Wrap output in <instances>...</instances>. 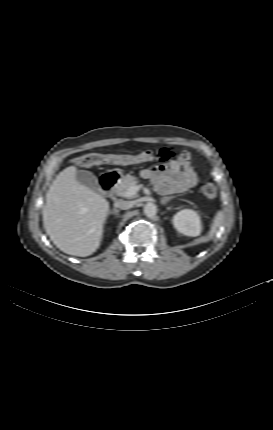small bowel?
Instances as JSON below:
<instances>
[{"label":"small bowel","mask_w":273,"mask_h":430,"mask_svg":"<svg viewBox=\"0 0 273 430\" xmlns=\"http://www.w3.org/2000/svg\"><path fill=\"white\" fill-rule=\"evenodd\" d=\"M160 154L163 155L160 164L141 171V175L151 179L160 193L184 192L197 184L198 177L188 152L181 153L177 159H168V151Z\"/></svg>","instance_id":"small-bowel-1"}]
</instances>
